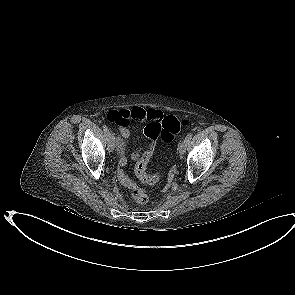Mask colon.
<instances>
[{
  "instance_id": "obj_1",
  "label": "colon",
  "mask_w": 295,
  "mask_h": 295,
  "mask_svg": "<svg viewBox=\"0 0 295 295\" xmlns=\"http://www.w3.org/2000/svg\"><path fill=\"white\" fill-rule=\"evenodd\" d=\"M114 118L118 119L119 117L115 115ZM187 125L188 121L185 119L166 116L160 121L150 122L144 128V135L149 139V143L145 145L142 157L135 166V174L143 183L152 184L160 178V174L151 175L147 172L149 159L153 157L154 150L158 146V138H161L164 142H170L179 133L181 128ZM131 195L134 202L138 205L146 204L149 199L147 193L142 188L135 189L133 187Z\"/></svg>"
}]
</instances>
